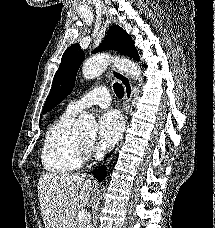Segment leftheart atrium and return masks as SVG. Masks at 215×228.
<instances>
[{"mask_svg": "<svg viewBox=\"0 0 215 228\" xmlns=\"http://www.w3.org/2000/svg\"><path fill=\"white\" fill-rule=\"evenodd\" d=\"M124 123L117 111H108L99 119L98 141L99 148L114 146L122 136Z\"/></svg>", "mask_w": 215, "mask_h": 228, "instance_id": "left-heart-atrium-1", "label": "left heart atrium"}]
</instances>
